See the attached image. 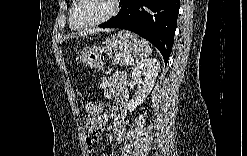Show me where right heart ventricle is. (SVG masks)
<instances>
[{
    "label": "right heart ventricle",
    "instance_id": "obj_1",
    "mask_svg": "<svg viewBox=\"0 0 247 156\" xmlns=\"http://www.w3.org/2000/svg\"><path fill=\"white\" fill-rule=\"evenodd\" d=\"M74 4V3H73ZM73 4H72V6H71V8H70V11H69V17H70V13H71V10H72V7H73ZM72 27V26H71Z\"/></svg>",
    "mask_w": 247,
    "mask_h": 156
}]
</instances>
